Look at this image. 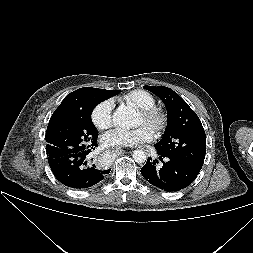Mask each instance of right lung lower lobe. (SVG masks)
<instances>
[{
	"instance_id": "1",
	"label": "right lung lower lobe",
	"mask_w": 253,
	"mask_h": 253,
	"mask_svg": "<svg viewBox=\"0 0 253 253\" xmlns=\"http://www.w3.org/2000/svg\"><path fill=\"white\" fill-rule=\"evenodd\" d=\"M97 139L87 150L57 158H48L50 168L56 179L63 185L85 189L102 181L111 169H103L91 160V151L97 147Z\"/></svg>"
}]
</instances>
